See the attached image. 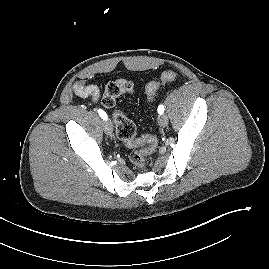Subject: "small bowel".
Segmentation results:
<instances>
[{"label": "small bowel", "instance_id": "obj_1", "mask_svg": "<svg viewBox=\"0 0 269 269\" xmlns=\"http://www.w3.org/2000/svg\"><path fill=\"white\" fill-rule=\"evenodd\" d=\"M73 92L79 97H91L93 102H98L101 97L100 88L94 84H88L85 80H79L73 85Z\"/></svg>", "mask_w": 269, "mask_h": 269}]
</instances>
